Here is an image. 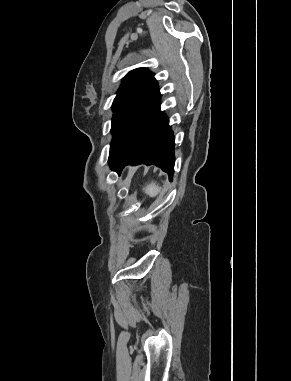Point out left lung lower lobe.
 I'll use <instances>...</instances> for the list:
<instances>
[{"label":"left lung lower lobe","mask_w":291,"mask_h":381,"mask_svg":"<svg viewBox=\"0 0 291 381\" xmlns=\"http://www.w3.org/2000/svg\"><path fill=\"white\" fill-rule=\"evenodd\" d=\"M160 97L158 92L110 152V167L119 175L128 164H154L172 180L175 139L166 116L160 111Z\"/></svg>","instance_id":"left-lung-lower-lobe-1"}]
</instances>
